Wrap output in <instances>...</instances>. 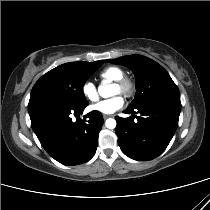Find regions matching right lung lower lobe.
<instances>
[{"label": "right lung lower lobe", "instance_id": "obj_1", "mask_svg": "<svg viewBox=\"0 0 210 210\" xmlns=\"http://www.w3.org/2000/svg\"><path fill=\"white\" fill-rule=\"evenodd\" d=\"M88 105V104H87ZM49 104L29 112L32 129L47 153L61 164L72 166L89 161L95 154L103 125L99 111L73 122L87 106Z\"/></svg>", "mask_w": 210, "mask_h": 210}]
</instances>
